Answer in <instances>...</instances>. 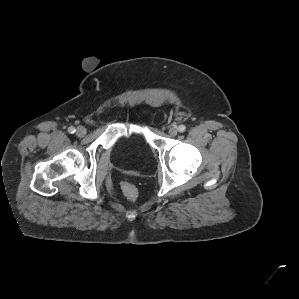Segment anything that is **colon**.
<instances>
[{"mask_svg":"<svg viewBox=\"0 0 299 299\" xmlns=\"http://www.w3.org/2000/svg\"><path fill=\"white\" fill-rule=\"evenodd\" d=\"M121 190L124 194V196L129 200V201H135L138 192L134 184L131 182H123L121 185Z\"/></svg>","mask_w":299,"mask_h":299,"instance_id":"colon-1","label":"colon"}]
</instances>
